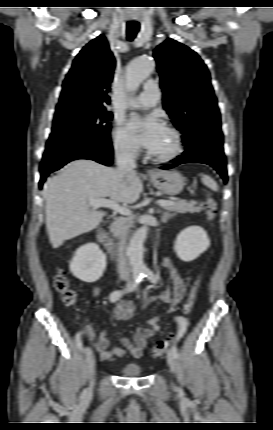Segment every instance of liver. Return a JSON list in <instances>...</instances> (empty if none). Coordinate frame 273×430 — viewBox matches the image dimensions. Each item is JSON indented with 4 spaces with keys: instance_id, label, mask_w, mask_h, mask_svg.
I'll return each mask as SVG.
<instances>
[{
    "instance_id": "6515ba94",
    "label": "liver",
    "mask_w": 273,
    "mask_h": 430,
    "mask_svg": "<svg viewBox=\"0 0 273 430\" xmlns=\"http://www.w3.org/2000/svg\"><path fill=\"white\" fill-rule=\"evenodd\" d=\"M142 191L135 171L121 173L89 159L67 163L44 188L46 228L53 248L99 225L104 214L90 208V199L109 197L115 203L132 204Z\"/></svg>"
}]
</instances>
